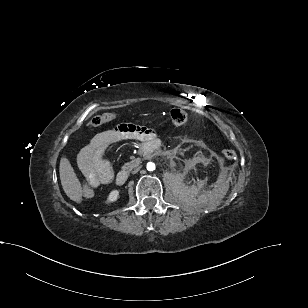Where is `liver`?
<instances>
[{"instance_id":"liver-1","label":"liver","mask_w":308,"mask_h":308,"mask_svg":"<svg viewBox=\"0 0 308 308\" xmlns=\"http://www.w3.org/2000/svg\"><path fill=\"white\" fill-rule=\"evenodd\" d=\"M60 180L66 195L75 202H80L82 198V187L70 161L64 156L60 160L59 166Z\"/></svg>"}]
</instances>
